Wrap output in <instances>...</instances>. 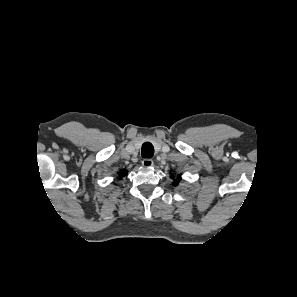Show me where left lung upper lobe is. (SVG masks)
<instances>
[{"mask_svg":"<svg viewBox=\"0 0 297 297\" xmlns=\"http://www.w3.org/2000/svg\"><path fill=\"white\" fill-rule=\"evenodd\" d=\"M171 178L174 179L175 186H177L178 182L181 180L180 176H177V178L175 179V177L173 175H171Z\"/></svg>","mask_w":297,"mask_h":297,"instance_id":"5c2ea615","label":"left lung upper lobe"}]
</instances>
